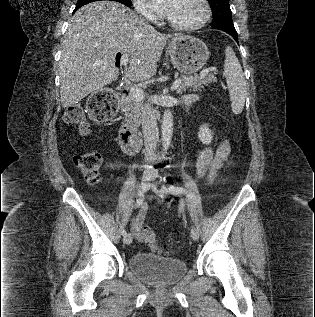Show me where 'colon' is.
<instances>
[{
	"label": "colon",
	"instance_id": "5ec220e1",
	"mask_svg": "<svg viewBox=\"0 0 315 317\" xmlns=\"http://www.w3.org/2000/svg\"><path fill=\"white\" fill-rule=\"evenodd\" d=\"M117 109V96L112 89L97 91L87 103V113L96 121L110 120L116 114ZM64 118L68 124L76 127L80 134L85 135L88 132L85 114L79 106L69 107ZM74 163L89 183L94 184L99 181L102 165V157L99 152L88 151L79 154L74 158ZM141 239L155 252L165 251V248L158 243L155 231L151 227L144 226L142 228Z\"/></svg>",
	"mask_w": 315,
	"mask_h": 317
}]
</instances>
